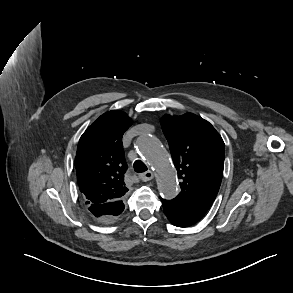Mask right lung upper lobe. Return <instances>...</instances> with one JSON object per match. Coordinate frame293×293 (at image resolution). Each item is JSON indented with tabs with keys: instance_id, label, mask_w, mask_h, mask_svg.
Returning <instances> with one entry per match:
<instances>
[{
	"instance_id": "1",
	"label": "right lung upper lobe",
	"mask_w": 293,
	"mask_h": 293,
	"mask_svg": "<svg viewBox=\"0 0 293 293\" xmlns=\"http://www.w3.org/2000/svg\"><path fill=\"white\" fill-rule=\"evenodd\" d=\"M131 125L125 113L112 110L101 115L81 136L75 168L88 206L122 201L128 191L122 136Z\"/></svg>"
}]
</instances>
